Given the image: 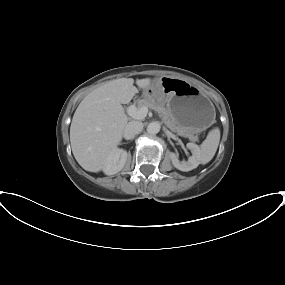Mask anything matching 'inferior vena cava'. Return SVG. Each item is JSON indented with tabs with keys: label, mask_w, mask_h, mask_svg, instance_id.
I'll use <instances>...</instances> for the list:
<instances>
[{
	"label": "inferior vena cava",
	"mask_w": 285,
	"mask_h": 285,
	"mask_svg": "<svg viewBox=\"0 0 285 285\" xmlns=\"http://www.w3.org/2000/svg\"><path fill=\"white\" fill-rule=\"evenodd\" d=\"M143 130V123L140 121H130L125 129L124 136L128 139L133 138Z\"/></svg>",
	"instance_id": "inferior-vena-cava-1"
}]
</instances>
